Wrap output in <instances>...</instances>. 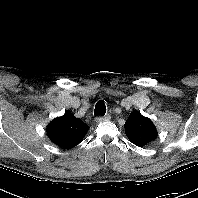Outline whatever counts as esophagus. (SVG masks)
Listing matches in <instances>:
<instances>
[{
	"label": "esophagus",
	"instance_id": "1",
	"mask_svg": "<svg viewBox=\"0 0 198 198\" xmlns=\"http://www.w3.org/2000/svg\"><path fill=\"white\" fill-rule=\"evenodd\" d=\"M110 119H111V116L108 114L106 116H98V117H96L95 121L97 123H100V122L108 121Z\"/></svg>",
	"mask_w": 198,
	"mask_h": 198
}]
</instances>
